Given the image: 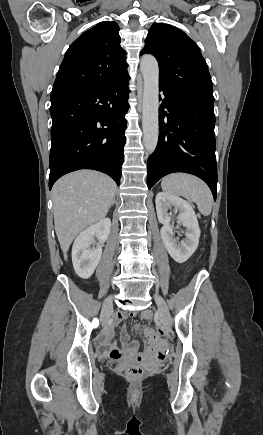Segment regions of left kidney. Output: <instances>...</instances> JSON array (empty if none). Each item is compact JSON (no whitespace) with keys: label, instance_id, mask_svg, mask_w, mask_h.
Listing matches in <instances>:
<instances>
[{"label":"left kidney","instance_id":"5707ae66","mask_svg":"<svg viewBox=\"0 0 263 435\" xmlns=\"http://www.w3.org/2000/svg\"><path fill=\"white\" fill-rule=\"evenodd\" d=\"M157 217L163 227L160 230L162 241L170 256L177 263H184L195 252L199 244L200 228L197 216L189 202L167 192H159L155 199ZM178 214V223L185 227V240L181 243L174 238L170 224L172 212Z\"/></svg>","mask_w":263,"mask_h":435}]
</instances>
